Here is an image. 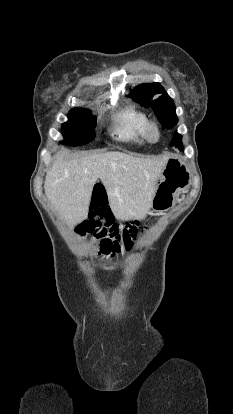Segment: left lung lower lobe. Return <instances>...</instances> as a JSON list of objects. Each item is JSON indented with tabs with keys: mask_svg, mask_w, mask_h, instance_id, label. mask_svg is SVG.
I'll return each mask as SVG.
<instances>
[{
	"mask_svg": "<svg viewBox=\"0 0 233 414\" xmlns=\"http://www.w3.org/2000/svg\"><path fill=\"white\" fill-rule=\"evenodd\" d=\"M171 142H172L171 145L177 146L180 150L183 149L182 142H181V135L180 134L175 133V135H174V137H173V139H172Z\"/></svg>",
	"mask_w": 233,
	"mask_h": 414,
	"instance_id": "0a47b994",
	"label": "left lung lower lobe"
}]
</instances>
